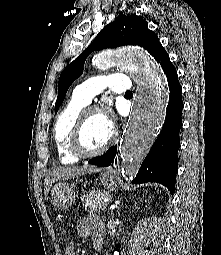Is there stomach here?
I'll return each instance as SVG.
<instances>
[{
	"mask_svg": "<svg viewBox=\"0 0 221 255\" xmlns=\"http://www.w3.org/2000/svg\"><path fill=\"white\" fill-rule=\"evenodd\" d=\"M101 184L108 190H116L121 182L115 174L103 173L101 175ZM75 201V193L72 186L62 180L56 183L51 189L50 202L59 210H67Z\"/></svg>",
	"mask_w": 221,
	"mask_h": 255,
	"instance_id": "stomach-1",
	"label": "stomach"
}]
</instances>
